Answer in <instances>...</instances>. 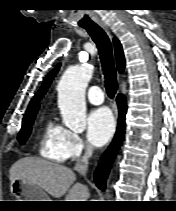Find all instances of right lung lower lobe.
<instances>
[{
    "instance_id": "right-lung-lower-lobe-1",
    "label": "right lung lower lobe",
    "mask_w": 176,
    "mask_h": 211,
    "mask_svg": "<svg viewBox=\"0 0 176 211\" xmlns=\"http://www.w3.org/2000/svg\"><path fill=\"white\" fill-rule=\"evenodd\" d=\"M117 103L119 108V120H118V127L117 132L114 137L112 144L110 145L109 149L103 154L100 163L96 169L94 178L96 185L101 190H105L106 178L108 176L109 170L111 168V164L113 159L122 143L125 131V114L127 110L126 99L123 95L119 94L117 96Z\"/></svg>"
}]
</instances>
